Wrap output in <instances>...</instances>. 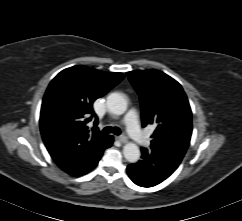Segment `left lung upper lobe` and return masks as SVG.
Returning a JSON list of instances; mask_svg holds the SVG:
<instances>
[{"mask_svg":"<svg viewBox=\"0 0 242 221\" xmlns=\"http://www.w3.org/2000/svg\"><path fill=\"white\" fill-rule=\"evenodd\" d=\"M127 75L140 96L143 127L156 125L150 148L181 161L192 134V112L181 85L158 70Z\"/></svg>","mask_w":242,"mask_h":221,"instance_id":"5c2ea615","label":"left lung upper lobe"}]
</instances>
